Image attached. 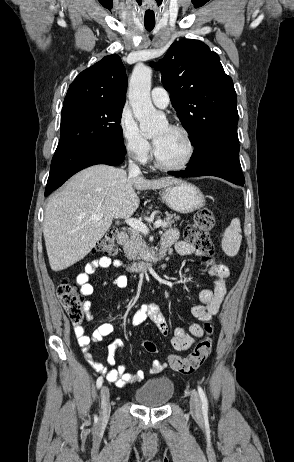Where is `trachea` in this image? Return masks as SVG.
Masks as SVG:
<instances>
[{
    "mask_svg": "<svg viewBox=\"0 0 294 462\" xmlns=\"http://www.w3.org/2000/svg\"><path fill=\"white\" fill-rule=\"evenodd\" d=\"M154 26H155V23L153 22H145V28L148 31H151L154 28Z\"/></svg>",
    "mask_w": 294,
    "mask_h": 462,
    "instance_id": "3493384b",
    "label": "trachea"
}]
</instances>
